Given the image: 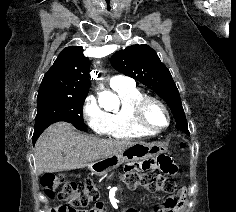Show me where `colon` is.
Wrapping results in <instances>:
<instances>
[{
    "instance_id": "5ec220e1",
    "label": "colon",
    "mask_w": 236,
    "mask_h": 212,
    "mask_svg": "<svg viewBox=\"0 0 236 212\" xmlns=\"http://www.w3.org/2000/svg\"><path fill=\"white\" fill-rule=\"evenodd\" d=\"M174 171L172 161L161 157L142 164L127 165L122 180L128 187L141 185L149 191L169 194L173 196L170 199L178 200L182 188L172 176ZM41 185L48 197H53L58 190L57 197L64 204L56 207L55 212H84L82 209L95 202L100 194L99 187L90 179L77 182L52 173L42 177Z\"/></svg>"
}]
</instances>
